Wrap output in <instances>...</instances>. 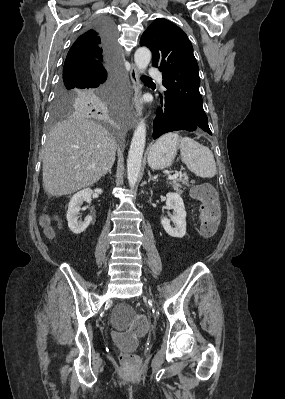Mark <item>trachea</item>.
Returning a JSON list of instances; mask_svg holds the SVG:
<instances>
[{"mask_svg": "<svg viewBox=\"0 0 285 399\" xmlns=\"http://www.w3.org/2000/svg\"><path fill=\"white\" fill-rule=\"evenodd\" d=\"M142 80L143 81H152L150 78L146 77V76H142Z\"/></svg>", "mask_w": 285, "mask_h": 399, "instance_id": "3493384b", "label": "trachea"}]
</instances>
